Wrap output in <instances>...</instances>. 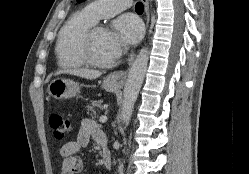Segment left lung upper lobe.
<instances>
[{"instance_id": "left-lung-upper-lobe-1", "label": "left lung upper lobe", "mask_w": 249, "mask_h": 174, "mask_svg": "<svg viewBox=\"0 0 249 174\" xmlns=\"http://www.w3.org/2000/svg\"><path fill=\"white\" fill-rule=\"evenodd\" d=\"M83 1H85V0H77V2H83Z\"/></svg>"}]
</instances>
